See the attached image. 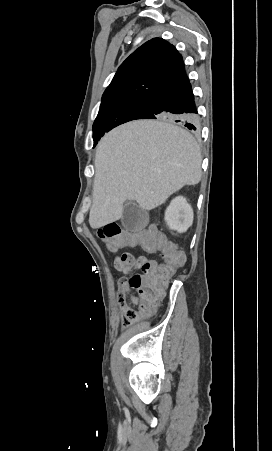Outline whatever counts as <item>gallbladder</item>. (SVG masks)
Masks as SVG:
<instances>
[{
  "instance_id": "bac80fb5",
  "label": "gallbladder",
  "mask_w": 272,
  "mask_h": 451,
  "mask_svg": "<svg viewBox=\"0 0 272 451\" xmlns=\"http://www.w3.org/2000/svg\"><path fill=\"white\" fill-rule=\"evenodd\" d=\"M121 222L122 226L129 231L144 229L149 222L148 212L142 210L135 202H125Z\"/></svg>"
}]
</instances>
